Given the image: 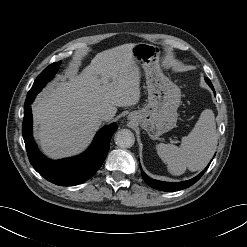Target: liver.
Returning <instances> with one entry per match:
<instances>
[{
  "label": "liver",
  "mask_w": 247,
  "mask_h": 247,
  "mask_svg": "<svg viewBox=\"0 0 247 247\" xmlns=\"http://www.w3.org/2000/svg\"><path fill=\"white\" fill-rule=\"evenodd\" d=\"M133 47L128 43L98 53L80 74L49 86L36 99V137L46 155L80 153L99 129L101 112L113 118L117 107L139 102L141 73Z\"/></svg>",
  "instance_id": "liver-1"
}]
</instances>
